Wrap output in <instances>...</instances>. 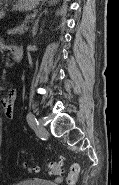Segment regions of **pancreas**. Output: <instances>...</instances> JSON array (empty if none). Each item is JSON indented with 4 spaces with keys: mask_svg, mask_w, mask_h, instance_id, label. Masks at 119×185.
Masks as SVG:
<instances>
[{
    "mask_svg": "<svg viewBox=\"0 0 119 185\" xmlns=\"http://www.w3.org/2000/svg\"><path fill=\"white\" fill-rule=\"evenodd\" d=\"M31 19L30 16L27 17L26 19V22L29 21ZM28 30V27L26 26V24L22 25L21 27H18V28H15L13 30H9L8 33H11V34H21V33H24L25 31Z\"/></svg>",
    "mask_w": 119,
    "mask_h": 185,
    "instance_id": "obj_1",
    "label": "pancreas"
}]
</instances>
